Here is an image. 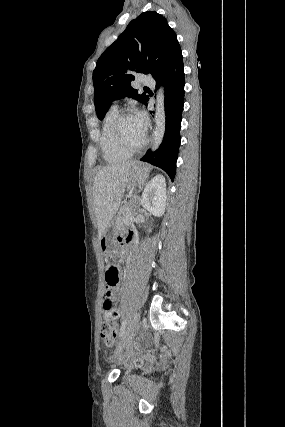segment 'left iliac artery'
Segmentation results:
<instances>
[{
    "label": "left iliac artery",
    "mask_w": 285,
    "mask_h": 427,
    "mask_svg": "<svg viewBox=\"0 0 285 427\" xmlns=\"http://www.w3.org/2000/svg\"><path fill=\"white\" fill-rule=\"evenodd\" d=\"M125 328H126V321L124 320L122 322L121 328H120V334L119 337L122 338L125 334Z\"/></svg>",
    "instance_id": "1"
}]
</instances>
